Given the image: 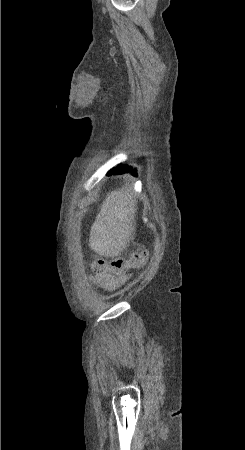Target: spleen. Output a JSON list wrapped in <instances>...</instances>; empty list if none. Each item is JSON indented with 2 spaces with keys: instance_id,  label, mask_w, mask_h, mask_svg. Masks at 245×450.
Returning <instances> with one entry per match:
<instances>
[{
  "instance_id": "spleen-1",
  "label": "spleen",
  "mask_w": 245,
  "mask_h": 450,
  "mask_svg": "<svg viewBox=\"0 0 245 450\" xmlns=\"http://www.w3.org/2000/svg\"><path fill=\"white\" fill-rule=\"evenodd\" d=\"M136 210V200L128 187L109 193L91 227V249L101 256L119 255L132 239Z\"/></svg>"
}]
</instances>
